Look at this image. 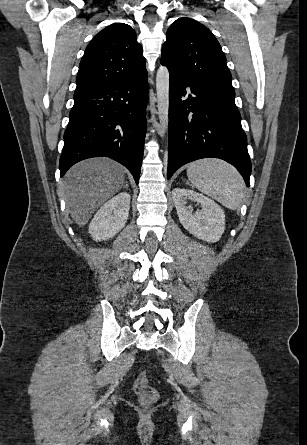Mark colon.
<instances>
[{
	"label": "colon",
	"instance_id": "obj_1",
	"mask_svg": "<svg viewBox=\"0 0 307 445\" xmlns=\"http://www.w3.org/2000/svg\"><path fill=\"white\" fill-rule=\"evenodd\" d=\"M134 391L141 404L149 406L154 404L159 397L158 391L149 384L146 372H140L134 381Z\"/></svg>",
	"mask_w": 307,
	"mask_h": 445
}]
</instances>
